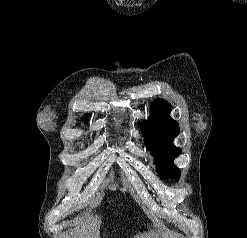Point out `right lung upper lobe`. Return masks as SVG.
<instances>
[{
	"mask_svg": "<svg viewBox=\"0 0 247 238\" xmlns=\"http://www.w3.org/2000/svg\"><path fill=\"white\" fill-rule=\"evenodd\" d=\"M84 120H85V121H87V120H88V118L86 117V118H84Z\"/></svg>",
	"mask_w": 247,
	"mask_h": 238,
	"instance_id": "cb5924a9",
	"label": "right lung upper lobe"
}]
</instances>
